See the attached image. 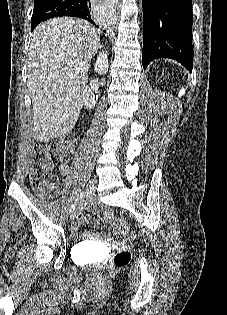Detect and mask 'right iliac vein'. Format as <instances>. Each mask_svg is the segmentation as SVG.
<instances>
[{"mask_svg": "<svg viewBox=\"0 0 227 315\" xmlns=\"http://www.w3.org/2000/svg\"><path fill=\"white\" fill-rule=\"evenodd\" d=\"M95 190H96V181L92 179L87 184L84 198L78 203L77 207L71 214L70 216L71 220H75L81 214L83 210V206H84V200L90 199L92 195L94 194Z\"/></svg>", "mask_w": 227, "mask_h": 315, "instance_id": "1", "label": "right iliac vein"}]
</instances>
